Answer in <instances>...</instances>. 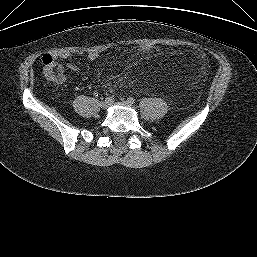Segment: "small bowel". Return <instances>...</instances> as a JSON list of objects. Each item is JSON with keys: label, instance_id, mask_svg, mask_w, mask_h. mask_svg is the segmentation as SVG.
<instances>
[{"label": "small bowel", "instance_id": "c3829d8e", "mask_svg": "<svg viewBox=\"0 0 257 257\" xmlns=\"http://www.w3.org/2000/svg\"><path fill=\"white\" fill-rule=\"evenodd\" d=\"M54 60L62 59L65 60V66L73 73L78 72L77 65L71 60L75 55L72 53H65V52H52L49 54ZM98 54L96 52H90L88 54L89 59H96Z\"/></svg>", "mask_w": 257, "mask_h": 257}]
</instances>
